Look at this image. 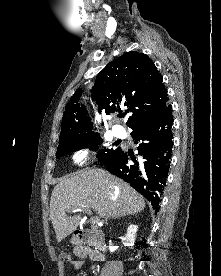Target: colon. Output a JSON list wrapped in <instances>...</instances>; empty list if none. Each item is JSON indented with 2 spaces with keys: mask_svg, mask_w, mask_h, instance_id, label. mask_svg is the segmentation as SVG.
I'll list each match as a JSON object with an SVG mask.
<instances>
[{
  "mask_svg": "<svg viewBox=\"0 0 221 276\" xmlns=\"http://www.w3.org/2000/svg\"><path fill=\"white\" fill-rule=\"evenodd\" d=\"M60 260L63 262H71L72 261V255L70 252H63L60 254Z\"/></svg>",
  "mask_w": 221,
  "mask_h": 276,
  "instance_id": "obj_1",
  "label": "colon"
}]
</instances>
